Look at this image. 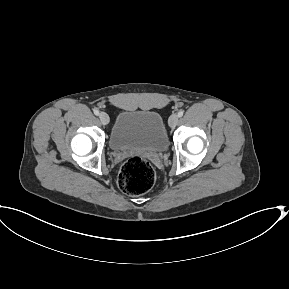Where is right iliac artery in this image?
<instances>
[{
    "label": "right iliac artery",
    "instance_id": "82829eb1",
    "mask_svg": "<svg viewBox=\"0 0 289 289\" xmlns=\"http://www.w3.org/2000/svg\"><path fill=\"white\" fill-rule=\"evenodd\" d=\"M93 112H94L95 115H99V110L98 109H94Z\"/></svg>",
    "mask_w": 289,
    "mask_h": 289
}]
</instances>
